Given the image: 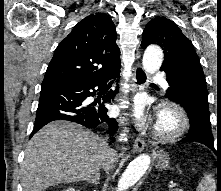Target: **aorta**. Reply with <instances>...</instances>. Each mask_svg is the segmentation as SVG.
<instances>
[{
	"label": "aorta",
	"instance_id": "1",
	"mask_svg": "<svg viewBox=\"0 0 221 191\" xmlns=\"http://www.w3.org/2000/svg\"><path fill=\"white\" fill-rule=\"evenodd\" d=\"M163 62V52L160 47L151 45L146 48L142 65L144 70L153 74L158 71ZM150 164V157L146 154H142L136 157L127 166L119 180L117 191H126L133 186L146 172Z\"/></svg>",
	"mask_w": 221,
	"mask_h": 191
}]
</instances>
